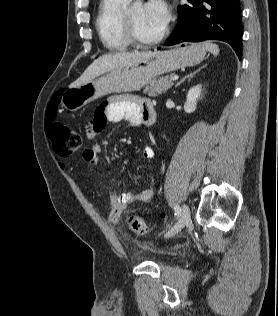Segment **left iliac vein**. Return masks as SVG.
<instances>
[{
	"label": "left iliac vein",
	"mask_w": 278,
	"mask_h": 316,
	"mask_svg": "<svg viewBox=\"0 0 278 316\" xmlns=\"http://www.w3.org/2000/svg\"><path fill=\"white\" fill-rule=\"evenodd\" d=\"M190 221V210L186 204L182 206V212L175 225L165 234V238H169L181 231Z\"/></svg>",
	"instance_id": "obj_1"
}]
</instances>
